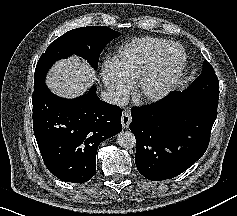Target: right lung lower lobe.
I'll return each instance as SVG.
<instances>
[{
	"label": "right lung lower lobe",
	"instance_id": "obj_1",
	"mask_svg": "<svg viewBox=\"0 0 237 216\" xmlns=\"http://www.w3.org/2000/svg\"><path fill=\"white\" fill-rule=\"evenodd\" d=\"M33 129L48 170L65 182L96 174L98 145L122 131V110L101 101L96 88L76 99L60 98L44 83L32 95Z\"/></svg>",
	"mask_w": 237,
	"mask_h": 216
}]
</instances>
